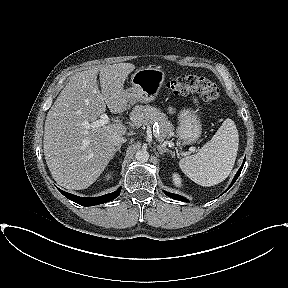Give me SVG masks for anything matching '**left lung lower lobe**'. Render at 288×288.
Wrapping results in <instances>:
<instances>
[{
    "label": "left lung lower lobe",
    "instance_id": "1",
    "mask_svg": "<svg viewBox=\"0 0 288 288\" xmlns=\"http://www.w3.org/2000/svg\"><path fill=\"white\" fill-rule=\"evenodd\" d=\"M245 159H246V158H245ZM245 159H244V162H243L242 166L240 167V169H239L238 172L236 173V175H235V177H234L231 185L228 187V189L235 183V181L237 180L238 176L240 175V173H241V171H242V168H243V166H244V163H245ZM228 189H227V190H228ZM227 190H226V191H227ZM164 193H165L167 196H169V197H171V198H173V199L179 200V201H183V202H188V201H189V200H187L186 198H184V197H182V196H179V195H177V194L169 193V192H167V191H164Z\"/></svg>",
    "mask_w": 288,
    "mask_h": 288
}]
</instances>
